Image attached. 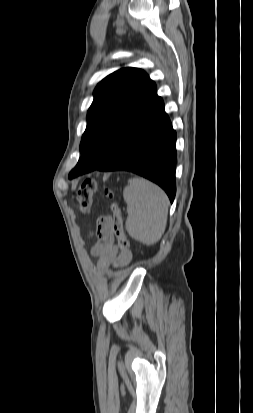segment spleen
<instances>
[{
	"label": "spleen",
	"mask_w": 253,
	"mask_h": 413,
	"mask_svg": "<svg viewBox=\"0 0 253 413\" xmlns=\"http://www.w3.org/2000/svg\"><path fill=\"white\" fill-rule=\"evenodd\" d=\"M123 197L128 234L146 245L157 243L167 225L169 199L165 192L152 182L135 177L128 180Z\"/></svg>",
	"instance_id": "3e777b00"
}]
</instances>
